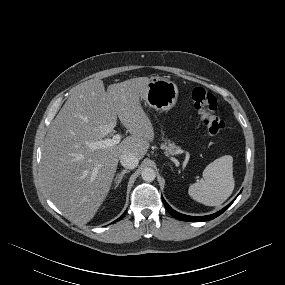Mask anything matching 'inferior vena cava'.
I'll return each mask as SVG.
<instances>
[{
	"label": "inferior vena cava",
	"mask_w": 285,
	"mask_h": 285,
	"mask_svg": "<svg viewBox=\"0 0 285 285\" xmlns=\"http://www.w3.org/2000/svg\"><path fill=\"white\" fill-rule=\"evenodd\" d=\"M138 158L130 152L124 153L120 157V163L123 167L127 169H134L138 166Z\"/></svg>",
	"instance_id": "obj_1"
}]
</instances>
